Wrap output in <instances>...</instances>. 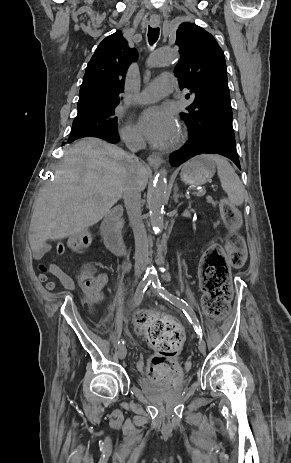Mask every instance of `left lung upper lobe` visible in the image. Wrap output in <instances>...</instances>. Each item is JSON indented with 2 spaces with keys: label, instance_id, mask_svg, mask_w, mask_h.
I'll return each instance as SVG.
<instances>
[{
  "label": "left lung upper lobe",
  "instance_id": "5c2ea615",
  "mask_svg": "<svg viewBox=\"0 0 291 463\" xmlns=\"http://www.w3.org/2000/svg\"><path fill=\"white\" fill-rule=\"evenodd\" d=\"M181 59L175 67L185 96L193 102L181 113L189 131L213 132L235 138L227 82V68L222 49L214 37L192 23H182L176 42Z\"/></svg>",
  "mask_w": 291,
  "mask_h": 463
}]
</instances>
